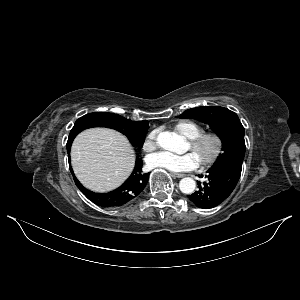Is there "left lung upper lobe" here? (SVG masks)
<instances>
[{
  "label": "left lung upper lobe",
  "instance_id": "1",
  "mask_svg": "<svg viewBox=\"0 0 300 300\" xmlns=\"http://www.w3.org/2000/svg\"><path fill=\"white\" fill-rule=\"evenodd\" d=\"M179 118H191L208 124L222 141L221 153L215 162L233 160L242 163L245 155L244 127L233 111L220 106L188 109Z\"/></svg>",
  "mask_w": 300,
  "mask_h": 300
}]
</instances>
